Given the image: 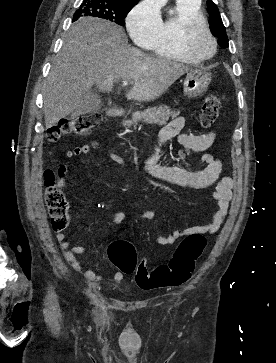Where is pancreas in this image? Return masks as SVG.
I'll use <instances>...</instances> for the list:
<instances>
[{"mask_svg": "<svg viewBox=\"0 0 276 363\" xmlns=\"http://www.w3.org/2000/svg\"><path fill=\"white\" fill-rule=\"evenodd\" d=\"M179 115V111H171L167 106L152 107L146 109L144 113L135 112L132 114L131 119H124L122 125L130 128L136 122L143 121L150 124L165 125L169 117H176Z\"/></svg>", "mask_w": 276, "mask_h": 363, "instance_id": "cf45deb5", "label": "pancreas"}]
</instances>
